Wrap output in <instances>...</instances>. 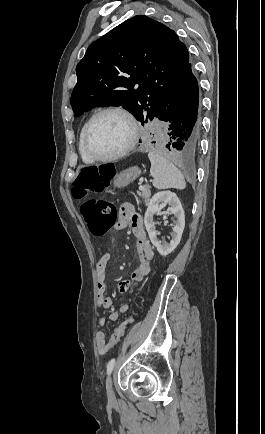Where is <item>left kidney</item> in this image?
<instances>
[{
  "label": "left kidney",
  "instance_id": "left-kidney-1",
  "mask_svg": "<svg viewBox=\"0 0 265 434\" xmlns=\"http://www.w3.org/2000/svg\"><path fill=\"white\" fill-rule=\"evenodd\" d=\"M161 202L162 204H168V206H170L166 214H174V218H177L172 228V240H170L169 244H167V242H159L158 238H156L157 232L153 218L157 212H160L159 206ZM163 220H167V216H163ZM144 224L148 232V236L153 246L157 248L159 254H161V256H168V254H171V252L177 248L178 244H180L181 236L185 228L184 210L176 194H173V192H158V194H154L145 212Z\"/></svg>",
  "mask_w": 265,
  "mask_h": 434
}]
</instances>
